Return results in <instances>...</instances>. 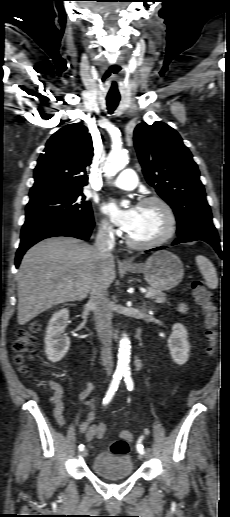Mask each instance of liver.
I'll list each match as a JSON object with an SVG mask.
<instances>
[{"instance_id": "1", "label": "liver", "mask_w": 230, "mask_h": 517, "mask_svg": "<svg viewBox=\"0 0 230 517\" xmlns=\"http://www.w3.org/2000/svg\"><path fill=\"white\" fill-rule=\"evenodd\" d=\"M101 270L109 287L116 277L114 257L101 261L95 246L65 237L37 243L24 255L16 277L18 324L55 305L85 299Z\"/></svg>"}]
</instances>
